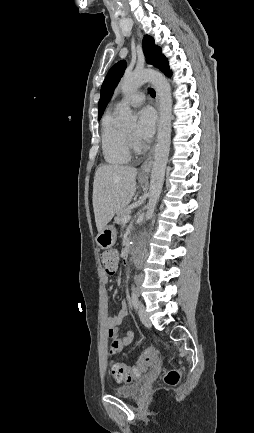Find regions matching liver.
<instances>
[{
	"instance_id": "1",
	"label": "liver",
	"mask_w": 254,
	"mask_h": 433,
	"mask_svg": "<svg viewBox=\"0 0 254 433\" xmlns=\"http://www.w3.org/2000/svg\"><path fill=\"white\" fill-rule=\"evenodd\" d=\"M137 169L121 165H101L93 183V209L98 232L132 200L136 190Z\"/></svg>"
}]
</instances>
